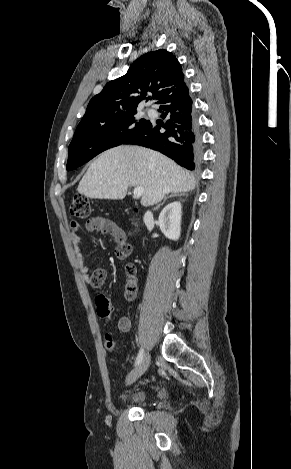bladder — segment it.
Returning <instances> with one entry per match:
<instances>
[{
    "instance_id": "31cf9c89",
    "label": "bladder",
    "mask_w": 291,
    "mask_h": 469,
    "mask_svg": "<svg viewBox=\"0 0 291 469\" xmlns=\"http://www.w3.org/2000/svg\"><path fill=\"white\" fill-rule=\"evenodd\" d=\"M146 399V393L142 390L133 392L124 398V402L130 405L142 404Z\"/></svg>"
}]
</instances>
